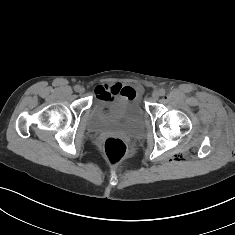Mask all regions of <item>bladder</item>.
<instances>
[{"instance_id":"obj_1","label":"bladder","mask_w":235,"mask_h":235,"mask_svg":"<svg viewBox=\"0 0 235 235\" xmlns=\"http://www.w3.org/2000/svg\"><path fill=\"white\" fill-rule=\"evenodd\" d=\"M88 127L93 132L117 130L138 135L144 127V112L135 98H98L90 108Z\"/></svg>"}]
</instances>
